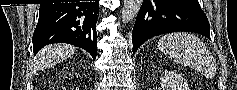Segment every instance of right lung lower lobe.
Segmentation results:
<instances>
[{"instance_id": "right-lung-lower-lobe-1", "label": "right lung lower lobe", "mask_w": 237, "mask_h": 90, "mask_svg": "<svg viewBox=\"0 0 237 90\" xmlns=\"http://www.w3.org/2000/svg\"><path fill=\"white\" fill-rule=\"evenodd\" d=\"M99 2L41 4L33 35V52L51 43H68L97 56Z\"/></svg>"}]
</instances>
